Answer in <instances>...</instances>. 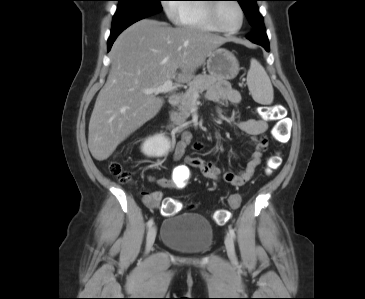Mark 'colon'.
<instances>
[{
	"label": "colon",
	"instance_id": "5ec220e1",
	"mask_svg": "<svg viewBox=\"0 0 365 299\" xmlns=\"http://www.w3.org/2000/svg\"><path fill=\"white\" fill-rule=\"evenodd\" d=\"M261 113L265 120L274 121L276 125L273 129V137L275 140L281 142L288 134V127L284 120V110L280 105H269L261 108ZM280 165V157L274 155L268 160L265 171L267 174H271ZM109 172L112 176L118 179L122 184H129L132 182L130 172L124 168L119 161H113L109 165ZM186 181V176L182 175L179 179L180 185ZM240 196L234 195L230 198V206L236 209L240 204ZM181 208V204L173 199L166 200L161 208V213L165 216L176 214ZM230 213L227 209H217L213 213V219L217 224H224L229 220Z\"/></svg>",
	"mask_w": 365,
	"mask_h": 299
}]
</instances>
